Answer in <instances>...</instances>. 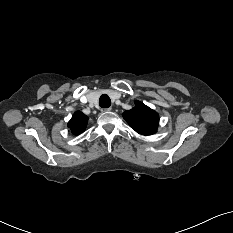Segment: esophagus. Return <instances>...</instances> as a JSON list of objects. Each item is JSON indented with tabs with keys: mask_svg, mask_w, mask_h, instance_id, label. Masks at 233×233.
I'll return each mask as SVG.
<instances>
[{
	"mask_svg": "<svg viewBox=\"0 0 233 233\" xmlns=\"http://www.w3.org/2000/svg\"><path fill=\"white\" fill-rule=\"evenodd\" d=\"M111 110H112L111 107H109V108H102V109H101V111H102V112H105V113H106V112H110Z\"/></svg>",
	"mask_w": 233,
	"mask_h": 233,
	"instance_id": "esophagus-1",
	"label": "esophagus"
}]
</instances>
